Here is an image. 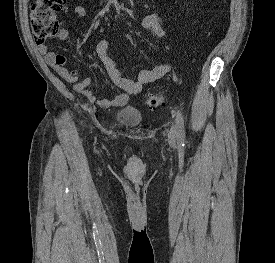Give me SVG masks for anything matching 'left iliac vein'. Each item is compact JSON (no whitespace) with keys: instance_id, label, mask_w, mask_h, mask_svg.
<instances>
[{"instance_id":"4c4485c4","label":"left iliac vein","mask_w":275,"mask_h":263,"mask_svg":"<svg viewBox=\"0 0 275 263\" xmlns=\"http://www.w3.org/2000/svg\"><path fill=\"white\" fill-rule=\"evenodd\" d=\"M169 142L175 143L177 138V124L173 126L169 132Z\"/></svg>"}]
</instances>
